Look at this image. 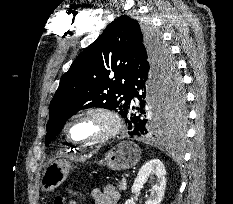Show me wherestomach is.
<instances>
[{"instance_id": "obj_1", "label": "stomach", "mask_w": 233, "mask_h": 204, "mask_svg": "<svg viewBox=\"0 0 233 204\" xmlns=\"http://www.w3.org/2000/svg\"><path fill=\"white\" fill-rule=\"evenodd\" d=\"M141 151L132 141H122L109 150L99 164L113 171L127 170L134 167L140 160ZM71 165L63 160L49 163L43 170L40 185L44 192L60 186L67 178Z\"/></svg>"}]
</instances>
